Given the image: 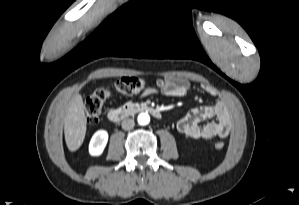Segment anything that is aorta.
I'll return each mask as SVG.
<instances>
[{
  "mask_svg": "<svg viewBox=\"0 0 299 205\" xmlns=\"http://www.w3.org/2000/svg\"><path fill=\"white\" fill-rule=\"evenodd\" d=\"M137 120L140 125H147L150 122V116L147 113H140Z\"/></svg>",
  "mask_w": 299,
  "mask_h": 205,
  "instance_id": "obj_1",
  "label": "aorta"
}]
</instances>
